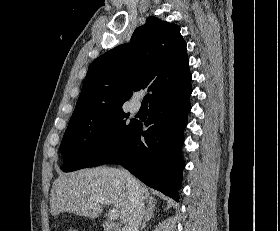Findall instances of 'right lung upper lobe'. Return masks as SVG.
Listing matches in <instances>:
<instances>
[{
    "mask_svg": "<svg viewBox=\"0 0 280 231\" xmlns=\"http://www.w3.org/2000/svg\"><path fill=\"white\" fill-rule=\"evenodd\" d=\"M186 43L179 26L149 17L128 44L90 66L70 121L92 120L123 111L134 91H152L150 104L190 85Z\"/></svg>",
    "mask_w": 280,
    "mask_h": 231,
    "instance_id": "cb5924a9",
    "label": "right lung upper lobe"
}]
</instances>
